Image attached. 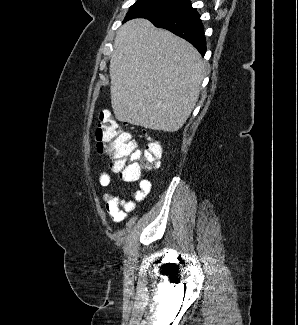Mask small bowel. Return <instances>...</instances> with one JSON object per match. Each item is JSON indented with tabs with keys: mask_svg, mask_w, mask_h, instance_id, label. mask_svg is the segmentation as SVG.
Segmentation results:
<instances>
[{
	"mask_svg": "<svg viewBox=\"0 0 298 325\" xmlns=\"http://www.w3.org/2000/svg\"><path fill=\"white\" fill-rule=\"evenodd\" d=\"M99 184L104 188L111 185V176L108 172L102 171L99 174ZM151 187L152 182L149 179H141L138 188L132 194V200H126L115 193H105L103 195L105 208L111 219L116 223L124 222L128 214L136 210L137 202H141L147 198Z\"/></svg>",
	"mask_w": 298,
	"mask_h": 325,
	"instance_id": "c3829d8e",
	"label": "small bowel"
}]
</instances>
